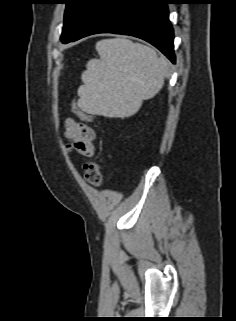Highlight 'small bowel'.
Masks as SVG:
<instances>
[{
  "label": "small bowel",
  "instance_id": "obj_1",
  "mask_svg": "<svg viewBox=\"0 0 236 321\" xmlns=\"http://www.w3.org/2000/svg\"><path fill=\"white\" fill-rule=\"evenodd\" d=\"M64 126L65 137L69 141L70 148L81 155L91 156L94 153L96 137L94 130L84 122H77L72 118H67Z\"/></svg>",
  "mask_w": 236,
  "mask_h": 321
}]
</instances>
